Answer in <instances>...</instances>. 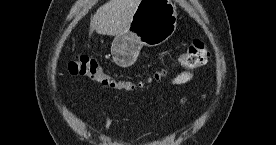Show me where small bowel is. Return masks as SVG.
Returning a JSON list of instances; mask_svg holds the SVG:
<instances>
[{
    "label": "small bowel",
    "mask_w": 276,
    "mask_h": 145,
    "mask_svg": "<svg viewBox=\"0 0 276 145\" xmlns=\"http://www.w3.org/2000/svg\"><path fill=\"white\" fill-rule=\"evenodd\" d=\"M193 78V73L190 71H184L181 72L179 75H177L174 80L173 84L175 85H183L188 83ZM183 102V101H182ZM104 116H105V128L106 131H110L113 127V117L111 113L108 110H104Z\"/></svg>",
    "instance_id": "small-bowel-1"
}]
</instances>
